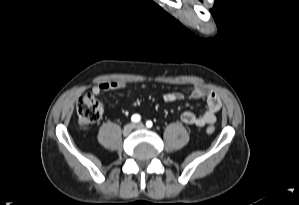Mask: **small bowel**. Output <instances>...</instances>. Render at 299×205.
I'll return each mask as SVG.
<instances>
[{
  "label": "small bowel",
  "instance_id": "obj_1",
  "mask_svg": "<svg viewBox=\"0 0 299 205\" xmlns=\"http://www.w3.org/2000/svg\"><path fill=\"white\" fill-rule=\"evenodd\" d=\"M124 83L118 81H104L95 85L91 92L98 96L102 92L114 91L122 88ZM193 99H204L206 101V110L202 114H195L191 111H185L181 115V120L186 125L203 127L216 121L217 115L221 110L222 103L220 97L213 91L207 89L204 85L196 84L191 92ZM183 98L180 92H168L163 95L165 102L171 103Z\"/></svg>",
  "mask_w": 299,
  "mask_h": 205
}]
</instances>
